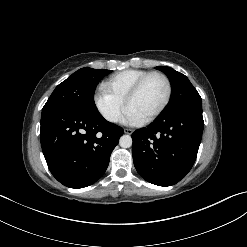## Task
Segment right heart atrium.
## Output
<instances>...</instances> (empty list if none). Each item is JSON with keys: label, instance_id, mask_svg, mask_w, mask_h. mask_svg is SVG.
<instances>
[{"label": "right heart atrium", "instance_id": "right-heart-atrium-1", "mask_svg": "<svg viewBox=\"0 0 247 247\" xmlns=\"http://www.w3.org/2000/svg\"><path fill=\"white\" fill-rule=\"evenodd\" d=\"M94 102L100 114L111 123L118 121L124 109V100L104 86L95 93Z\"/></svg>", "mask_w": 247, "mask_h": 247}]
</instances>
